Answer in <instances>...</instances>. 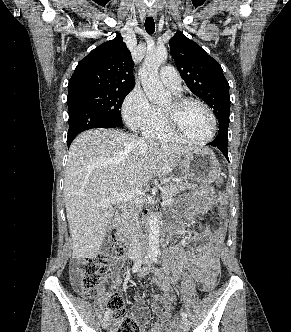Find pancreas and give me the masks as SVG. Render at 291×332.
Returning a JSON list of instances; mask_svg holds the SVG:
<instances>
[{"label":"pancreas","mask_w":291,"mask_h":332,"mask_svg":"<svg viewBox=\"0 0 291 332\" xmlns=\"http://www.w3.org/2000/svg\"><path fill=\"white\" fill-rule=\"evenodd\" d=\"M196 184L189 183L188 181L184 182H173L169 183L163 186L161 189L162 191V198L163 200L166 199H172L174 196L180 194L181 192L189 189L196 188ZM143 207L142 202H135L134 204L130 205L128 209L123 213L121 219H122V227L128 228L129 226V220L131 215L138 216V213L141 211Z\"/></svg>","instance_id":"1"}]
</instances>
